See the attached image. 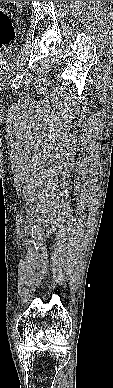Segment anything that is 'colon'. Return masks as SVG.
<instances>
[{
  "label": "colon",
  "mask_w": 113,
  "mask_h": 388,
  "mask_svg": "<svg viewBox=\"0 0 113 388\" xmlns=\"http://www.w3.org/2000/svg\"><path fill=\"white\" fill-rule=\"evenodd\" d=\"M15 36L11 15L0 9V49L12 42Z\"/></svg>",
  "instance_id": "obj_1"
}]
</instances>
